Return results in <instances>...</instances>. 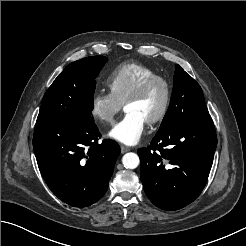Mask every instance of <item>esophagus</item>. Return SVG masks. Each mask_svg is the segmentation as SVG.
<instances>
[{
	"instance_id": "obj_1",
	"label": "esophagus",
	"mask_w": 246,
	"mask_h": 246,
	"mask_svg": "<svg viewBox=\"0 0 246 246\" xmlns=\"http://www.w3.org/2000/svg\"><path fill=\"white\" fill-rule=\"evenodd\" d=\"M120 149H121V153H126L131 150L129 147L124 146V145H121Z\"/></svg>"
}]
</instances>
